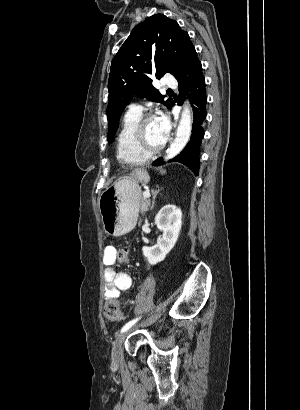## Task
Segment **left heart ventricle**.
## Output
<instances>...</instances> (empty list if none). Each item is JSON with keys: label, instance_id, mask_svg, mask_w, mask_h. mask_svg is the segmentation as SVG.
Masks as SVG:
<instances>
[{"label": "left heart ventricle", "instance_id": "obj_1", "mask_svg": "<svg viewBox=\"0 0 300 410\" xmlns=\"http://www.w3.org/2000/svg\"><path fill=\"white\" fill-rule=\"evenodd\" d=\"M145 139L150 146H159L165 139L160 133L154 119L149 120L144 126Z\"/></svg>", "mask_w": 300, "mask_h": 410}]
</instances>
